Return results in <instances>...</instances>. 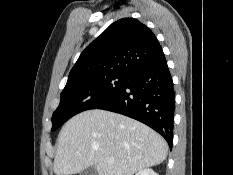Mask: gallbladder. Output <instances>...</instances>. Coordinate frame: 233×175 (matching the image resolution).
I'll return each instance as SVG.
<instances>
[{
	"label": "gallbladder",
	"mask_w": 233,
	"mask_h": 175,
	"mask_svg": "<svg viewBox=\"0 0 233 175\" xmlns=\"http://www.w3.org/2000/svg\"><path fill=\"white\" fill-rule=\"evenodd\" d=\"M80 175H98L97 169L95 166H90L80 173Z\"/></svg>",
	"instance_id": "obj_1"
}]
</instances>
